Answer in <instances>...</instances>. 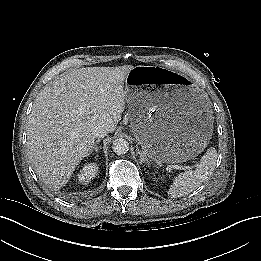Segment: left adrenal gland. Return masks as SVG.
Instances as JSON below:
<instances>
[{"mask_svg":"<svg viewBox=\"0 0 261 261\" xmlns=\"http://www.w3.org/2000/svg\"><path fill=\"white\" fill-rule=\"evenodd\" d=\"M140 155V163H147L148 164V160L147 158L143 155V153L141 152H137Z\"/></svg>","mask_w":261,"mask_h":261,"instance_id":"left-adrenal-gland-1","label":"left adrenal gland"}]
</instances>
